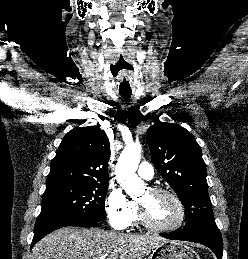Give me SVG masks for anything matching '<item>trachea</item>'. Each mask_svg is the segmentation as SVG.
Wrapping results in <instances>:
<instances>
[{
	"label": "trachea",
	"instance_id": "obj_1",
	"mask_svg": "<svg viewBox=\"0 0 248 259\" xmlns=\"http://www.w3.org/2000/svg\"><path fill=\"white\" fill-rule=\"evenodd\" d=\"M132 93H120L121 97L125 100H129V98L131 97Z\"/></svg>",
	"mask_w": 248,
	"mask_h": 259
}]
</instances>
